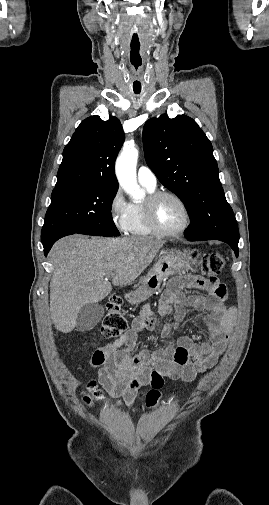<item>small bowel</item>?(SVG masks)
I'll list each match as a JSON object with an SVG mask.
<instances>
[{
  "mask_svg": "<svg viewBox=\"0 0 269 505\" xmlns=\"http://www.w3.org/2000/svg\"><path fill=\"white\" fill-rule=\"evenodd\" d=\"M200 272V276L176 278L167 291V297L158 301V312L173 315L177 322H182L186 307L202 312L207 328L208 340L194 342L189 336L182 335L173 346L158 349L153 353L141 350L135 355L137 333L141 330L156 331L167 336L172 326L150 317L151 309L146 307L131 322V328L122 336L104 345L94 352L91 364L98 368L101 385L114 397L122 399L130 406L137 390L149 384L153 371H158L172 379L191 382L197 376L211 369L222 355L226 340L232 329L236 311L226 306V286L219 281H212ZM204 278V279H203ZM192 287L204 290L206 295L185 297L180 290ZM176 303V311L174 307Z\"/></svg>",
  "mask_w": 269,
  "mask_h": 505,
  "instance_id": "small-bowel-1",
  "label": "small bowel"
}]
</instances>
